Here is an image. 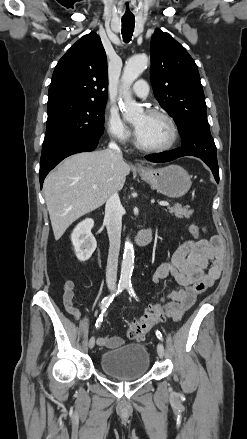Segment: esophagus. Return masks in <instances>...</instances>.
I'll list each match as a JSON object with an SVG mask.
<instances>
[{
  "instance_id": "34e87169",
  "label": "esophagus",
  "mask_w": 247,
  "mask_h": 439,
  "mask_svg": "<svg viewBox=\"0 0 247 439\" xmlns=\"http://www.w3.org/2000/svg\"><path fill=\"white\" fill-rule=\"evenodd\" d=\"M136 166H137V168H143L142 164H140V163H137Z\"/></svg>"
}]
</instances>
